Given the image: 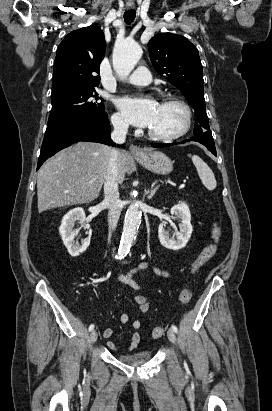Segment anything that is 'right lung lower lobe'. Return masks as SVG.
I'll use <instances>...</instances> for the list:
<instances>
[{"instance_id": "98d812e1", "label": "right lung lower lobe", "mask_w": 272, "mask_h": 411, "mask_svg": "<svg viewBox=\"0 0 272 411\" xmlns=\"http://www.w3.org/2000/svg\"><path fill=\"white\" fill-rule=\"evenodd\" d=\"M111 127L106 115H78L47 126L37 170L52 155L77 141L115 145L110 138Z\"/></svg>"}]
</instances>
